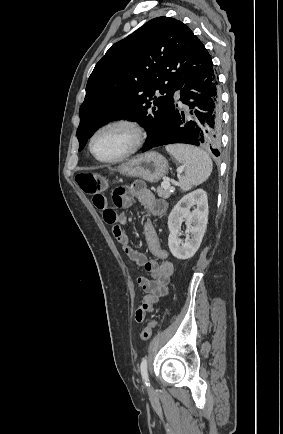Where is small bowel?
<instances>
[{"label": "small bowel", "instance_id": "1", "mask_svg": "<svg viewBox=\"0 0 283 434\" xmlns=\"http://www.w3.org/2000/svg\"><path fill=\"white\" fill-rule=\"evenodd\" d=\"M133 198L138 200L148 217L160 216L167 210V203L162 199L155 198L142 181H135L128 186L119 187L114 190L112 195L113 204L117 208L129 206ZM92 202L103 214L104 221L112 226L113 235L122 251L137 265L143 267L151 277V279L139 277L137 280L144 293L134 315L135 321L140 323L153 310L154 304L168 293L170 276L174 271L173 263L168 260L169 253L161 247L158 235L149 219L145 223V238L149 251L156 259H148L143 253L136 251L131 246L124 230L126 218L109 205L102 192L93 195Z\"/></svg>", "mask_w": 283, "mask_h": 434}]
</instances>
